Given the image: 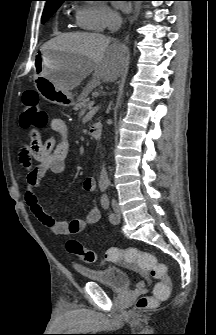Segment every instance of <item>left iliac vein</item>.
<instances>
[{
  "mask_svg": "<svg viewBox=\"0 0 216 335\" xmlns=\"http://www.w3.org/2000/svg\"><path fill=\"white\" fill-rule=\"evenodd\" d=\"M112 207H113L115 215H116V220L114 221V223L118 224L121 221V212H120V208H119L116 201L112 202Z\"/></svg>",
  "mask_w": 216,
  "mask_h": 335,
  "instance_id": "left-iliac-vein-1",
  "label": "left iliac vein"
}]
</instances>
